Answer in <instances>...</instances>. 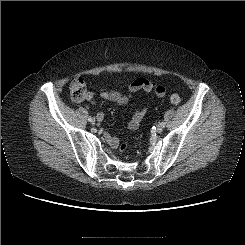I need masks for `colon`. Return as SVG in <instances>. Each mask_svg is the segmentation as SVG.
<instances>
[{"label": "colon", "mask_w": 245, "mask_h": 245, "mask_svg": "<svg viewBox=\"0 0 245 245\" xmlns=\"http://www.w3.org/2000/svg\"><path fill=\"white\" fill-rule=\"evenodd\" d=\"M142 84L144 85H148V81L144 80L142 82ZM152 84V83H151ZM153 87L156 88V90L158 91H163V87L162 86H155L154 84H152ZM69 92H70V96L74 101H83L87 98V85L85 80L82 77H76L72 80V82L70 83L69 86ZM170 101L173 104H179L181 102V98L179 95L174 94L170 97ZM128 148L127 143H121L118 146V151L120 153H124Z\"/></svg>", "instance_id": "obj_1"}]
</instances>
